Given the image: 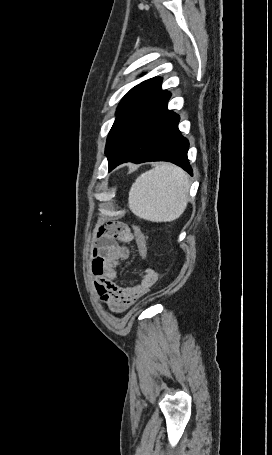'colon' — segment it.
Returning a JSON list of instances; mask_svg holds the SVG:
<instances>
[{
	"label": "colon",
	"mask_w": 272,
	"mask_h": 455,
	"mask_svg": "<svg viewBox=\"0 0 272 455\" xmlns=\"http://www.w3.org/2000/svg\"><path fill=\"white\" fill-rule=\"evenodd\" d=\"M134 235L136 237V243L138 247V254L143 262L147 260L148 248L146 242V236L142 232L139 226H133Z\"/></svg>",
	"instance_id": "obj_1"
}]
</instances>
